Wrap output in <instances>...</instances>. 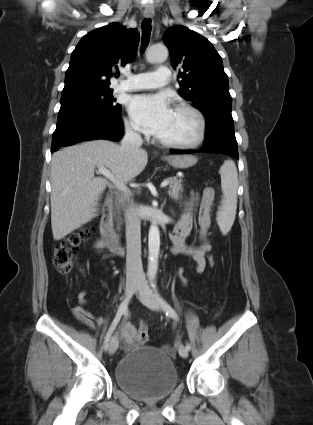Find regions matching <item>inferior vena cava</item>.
Instances as JSON below:
<instances>
[{
  "mask_svg": "<svg viewBox=\"0 0 313 425\" xmlns=\"http://www.w3.org/2000/svg\"><path fill=\"white\" fill-rule=\"evenodd\" d=\"M142 143L141 135L131 127L126 126L120 149L124 152L134 153L140 149ZM125 228L127 242L126 282H145L141 261V221L134 205H130L125 211Z\"/></svg>",
  "mask_w": 313,
  "mask_h": 425,
  "instance_id": "obj_1",
  "label": "inferior vena cava"
}]
</instances>
